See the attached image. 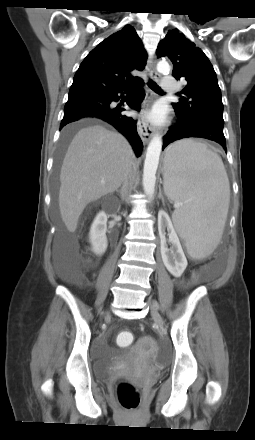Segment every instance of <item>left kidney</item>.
I'll return each instance as SVG.
<instances>
[{"label":"left kidney","instance_id":"obj_1","mask_svg":"<svg viewBox=\"0 0 255 440\" xmlns=\"http://www.w3.org/2000/svg\"><path fill=\"white\" fill-rule=\"evenodd\" d=\"M158 228L161 237V256L163 263L173 276L180 277L188 265L187 259L169 215L162 210L158 213ZM164 228H167L169 232V242L172 244L171 249H168L166 240L162 234Z\"/></svg>","mask_w":255,"mask_h":440}]
</instances>
